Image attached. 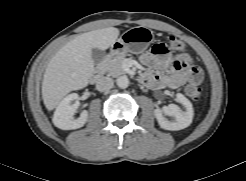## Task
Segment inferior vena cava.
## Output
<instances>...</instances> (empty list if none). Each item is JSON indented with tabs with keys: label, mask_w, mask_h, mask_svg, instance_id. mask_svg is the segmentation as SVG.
<instances>
[{
	"label": "inferior vena cava",
	"mask_w": 246,
	"mask_h": 181,
	"mask_svg": "<svg viewBox=\"0 0 246 181\" xmlns=\"http://www.w3.org/2000/svg\"><path fill=\"white\" fill-rule=\"evenodd\" d=\"M113 86L114 81L110 77H101L96 83V89L101 92L110 90L111 88H113Z\"/></svg>",
	"instance_id": "obj_1"
}]
</instances>
